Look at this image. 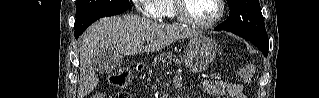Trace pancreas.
<instances>
[{
    "label": "pancreas",
    "mask_w": 319,
    "mask_h": 98,
    "mask_svg": "<svg viewBox=\"0 0 319 98\" xmlns=\"http://www.w3.org/2000/svg\"><path fill=\"white\" fill-rule=\"evenodd\" d=\"M159 59H162L163 61H166V59H168V61H169L170 63H171V62H174V63H175V62H178V61H179V60L176 58V56H175L174 54L170 53V52L162 53L161 56H160V58H159V57H156V58L154 59V64H156Z\"/></svg>",
    "instance_id": "1"
}]
</instances>
